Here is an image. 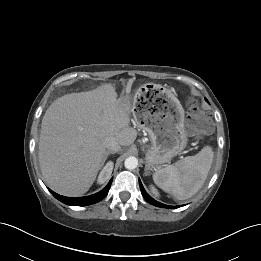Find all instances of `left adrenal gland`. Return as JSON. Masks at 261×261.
I'll list each match as a JSON object with an SVG mask.
<instances>
[{"label":"left adrenal gland","instance_id":"a2214340","mask_svg":"<svg viewBox=\"0 0 261 261\" xmlns=\"http://www.w3.org/2000/svg\"><path fill=\"white\" fill-rule=\"evenodd\" d=\"M149 173H150V172H149V168L146 166V167H145V175L147 176V175H149Z\"/></svg>","mask_w":261,"mask_h":261}]
</instances>
